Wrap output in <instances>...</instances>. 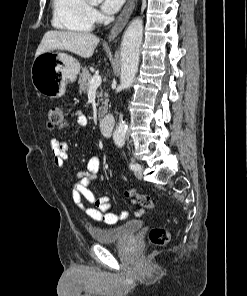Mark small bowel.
Here are the masks:
<instances>
[{
    "instance_id": "1",
    "label": "small bowel",
    "mask_w": 247,
    "mask_h": 296,
    "mask_svg": "<svg viewBox=\"0 0 247 296\" xmlns=\"http://www.w3.org/2000/svg\"><path fill=\"white\" fill-rule=\"evenodd\" d=\"M75 123L79 127L88 125L87 117L81 112L72 114ZM54 164L62 168L68 159V145L60 142L57 138L51 139ZM100 168V158L93 155L87 163V170L77 174V178L70 183L73 201L79 206L91 219L107 224L114 225L127 217V212L114 213L108 195L95 196L90 190V184L97 179V173ZM86 200L91 206H84Z\"/></svg>"
}]
</instances>
